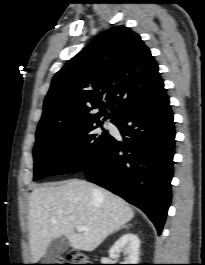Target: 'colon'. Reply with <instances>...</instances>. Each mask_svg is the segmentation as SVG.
Returning <instances> with one entry per match:
<instances>
[{
    "label": "colon",
    "mask_w": 205,
    "mask_h": 265,
    "mask_svg": "<svg viewBox=\"0 0 205 265\" xmlns=\"http://www.w3.org/2000/svg\"><path fill=\"white\" fill-rule=\"evenodd\" d=\"M88 263L89 258L85 253L74 252L71 253L67 258H60L55 262V264L49 265H92Z\"/></svg>",
    "instance_id": "1"
}]
</instances>
